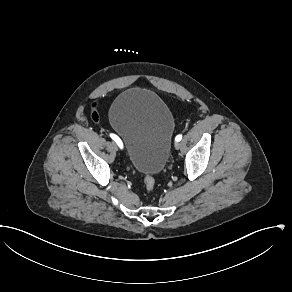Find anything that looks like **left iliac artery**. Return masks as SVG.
Returning <instances> with one entry per match:
<instances>
[{"mask_svg":"<svg viewBox=\"0 0 292 292\" xmlns=\"http://www.w3.org/2000/svg\"><path fill=\"white\" fill-rule=\"evenodd\" d=\"M181 139H182V135L181 134H179V135H177L175 137V141H180Z\"/></svg>","mask_w":292,"mask_h":292,"instance_id":"obj_1","label":"left iliac artery"}]
</instances>
